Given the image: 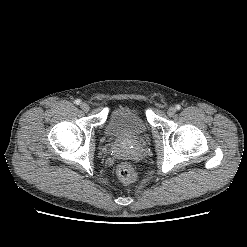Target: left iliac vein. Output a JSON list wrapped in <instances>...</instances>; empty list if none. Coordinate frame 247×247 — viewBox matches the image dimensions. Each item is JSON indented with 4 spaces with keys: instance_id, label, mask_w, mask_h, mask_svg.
I'll return each instance as SVG.
<instances>
[{
    "instance_id": "obj_1",
    "label": "left iliac vein",
    "mask_w": 247,
    "mask_h": 247,
    "mask_svg": "<svg viewBox=\"0 0 247 247\" xmlns=\"http://www.w3.org/2000/svg\"><path fill=\"white\" fill-rule=\"evenodd\" d=\"M176 113V109L174 107H170L168 110H167V114L169 116H173L174 114Z\"/></svg>"
}]
</instances>
